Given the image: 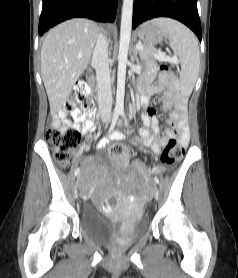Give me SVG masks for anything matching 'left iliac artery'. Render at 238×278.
<instances>
[{"instance_id":"1","label":"left iliac artery","mask_w":238,"mask_h":278,"mask_svg":"<svg viewBox=\"0 0 238 278\" xmlns=\"http://www.w3.org/2000/svg\"><path fill=\"white\" fill-rule=\"evenodd\" d=\"M122 116H123V114H122ZM154 181L157 183V184H159V179L155 176L154 177Z\"/></svg>"}]
</instances>
